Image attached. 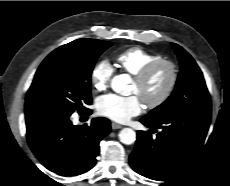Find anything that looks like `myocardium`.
Here are the masks:
<instances>
[{"instance_id": "f54148a6", "label": "myocardium", "mask_w": 230, "mask_h": 186, "mask_svg": "<svg viewBox=\"0 0 230 186\" xmlns=\"http://www.w3.org/2000/svg\"><path fill=\"white\" fill-rule=\"evenodd\" d=\"M161 68H166L168 70L169 80L163 92L156 99L148 100L142 98L144 104L150 109L163 105L170 98L178 82V67L171 60L160 59L149 64L134 75V82L141 87Z\"/></svg>"}]
</instances>
